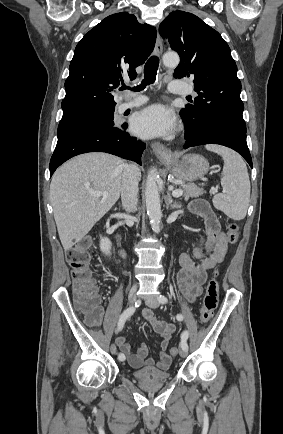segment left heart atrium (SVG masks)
Returning <instances> with one entry per match:
<instances>
[{
  "instance_id": "left-heart-atrium-1",
  "label": "left heart atrium",
  "mask_w": 283,
  "mask_h": 434,
  "mask_svg": "<svg viewBox=\"0 0 283 434\" xmlns=\"http://www.w3.org/2000/svg\"><path fill=\"white\" fill-rule=\"evenodd\" d=\"M176 128V117L163 104L151 105L139 112L133 122V131L144 138L164 137Z\"/></svg>"
}]
</instances>
